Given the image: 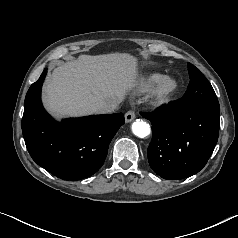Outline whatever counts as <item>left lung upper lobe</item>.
Segmentation results:
<instances>
[{
  "instance_id": "obj_1",
  "label": "left lung upper lobe",
  "mask_w": 238,
  "mask_h": 238,
  "mask_svg": "<svg viewBox=\"0 0 238 238\" xmlns=\"http://www.w3.org/2000/svg\"><path fill=\"white\" fill-rule=\"evenodd\" d=\"M187 66L190 83L184 96L178 100L179 107L184 110L200 103L218 102L213 87L200 70L190 63Z\"/></svg>"
}]
</instances>
